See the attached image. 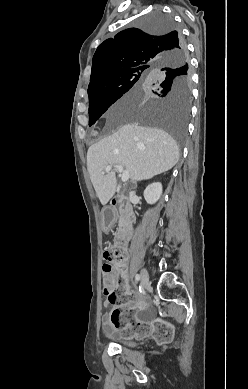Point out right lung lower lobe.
<instances>
[{"instance_id": "right-lung-lower-lobe-1", "label": "right lung lower lobe", "mask_w": 248, "mask_h": 389, "mask_svg": "<svg viewBox=\"0 0 248 389\" xmlns=\"http://www.w3.org/2000/svg\"><path fill=\"white\" fill-rule=\"evenodd\" d=\"M181 45H183V42H182V39H181V37H180V39H179V47H181ZM182 53H184V52H181V54Z\"/></svg>"}]
</instances>
